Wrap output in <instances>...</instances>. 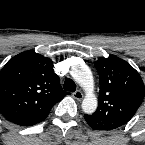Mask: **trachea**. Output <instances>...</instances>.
Masks as SVG:
<instances>
[{"mask_svg": "<svg viewBox=\"0 0 145 145\" xmlns=\"http://www.w3.org/2000/svg\"><path fill=\"white\" fill-rule=\"evenodd\" d=\"M63 88L66 91L74 92L76 90V84L72 79L67 78L63 84Z\"/></svg>", "mask_w": 145, "mask_h": 145, "instance_id": "obj_1", "label": "trachea"}]
</instances>
